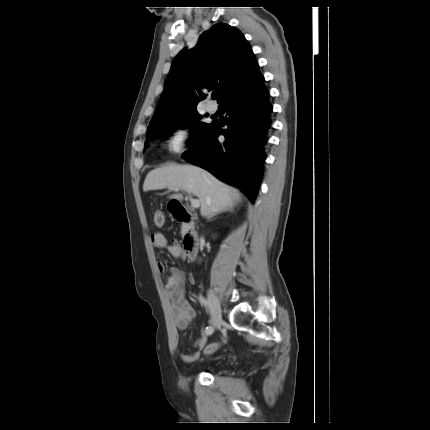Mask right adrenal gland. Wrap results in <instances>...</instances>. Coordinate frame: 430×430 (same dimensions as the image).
Returning a JSON list of instances; mask_svg holds the SVG:
<instances>
[{"label": "right adrenal gland", "mask_w": 430, "mask_h": 430, "mask_svg": "<svg viewBox=\"0 0 430 430\" xmlns=\"http://www.w3.org/2000/svg\"><path fill=\"white\" fill-rule=\"evenodd\" d=\"M226 210H230V211H231V208H224V209H222V210H220V211H218V212H215L214 214H212L211 216H209V217H208V219L213 218V217H214V216H216L217 214H219V213H221V212H223V211H226Z\"/></svg>", "instance_id": "obj_1"}]
</instances>
